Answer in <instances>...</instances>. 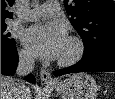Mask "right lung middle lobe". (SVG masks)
Wrapping results in <instances>:
<instances>
[{
  "mask_svg": "<svg viewBox=\"0 0 115 99\" xmlns=\"http://www.w3.org/2000/svg\"><path fill=\"white\" fill-rule=\"evenodd\" d=\"M6 27L5 23H1V46H10L15 42L14 39L10 38L11 34L5 32Z\"/></svg>",
  "mask_w": 115,
  "mask_h": 99,
  "instance_id": "1",
  "label": "right lung middle lobe"
}]
</instances>
